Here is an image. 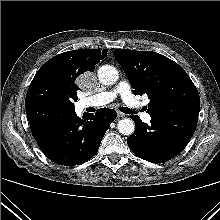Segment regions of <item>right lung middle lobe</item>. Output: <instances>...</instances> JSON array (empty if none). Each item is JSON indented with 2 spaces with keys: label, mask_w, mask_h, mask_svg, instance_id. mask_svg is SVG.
<instances>
[{
  "label": "right lung middle lobe",
  "mask_w": 220,
  "mask_h": 220,
  "mask_svg": "<svg viewBox=\"0 0 220 220\" xmlns=\"http://www.w3.org/2000/svg\"><path fill=\"white\" fill-rule=\"evenodd\" d=\"M77 90L79 87L75 80L55 75H42L33 78L26 100H43L74 108V102L78 99Z\"/></svg>",
  "instance_id": "right-lung-middle-lobe-1"
}]
</instances>
